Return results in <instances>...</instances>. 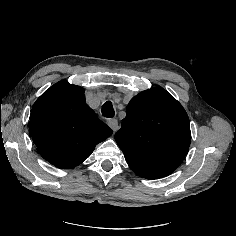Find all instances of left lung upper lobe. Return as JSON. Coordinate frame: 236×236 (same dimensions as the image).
Segmentation results:
<instances>
[{"instance_id":"left-lung-upper-lobe-1","label":"left lung upper lobe","mask_w":236,"mask_h":236,"mask_svg":"<svg viewBox=\"0 0 236 236\" xmlns=\"http://www.w3.org/2000/svg\"><path fill=\"white\" fill-rule=\"evenodd\" d=\"M115 140L129 167L146 179L171 174L188 152L189 118L165 89L153 87L133 97Z\"/></svg>"}]
</instances>
